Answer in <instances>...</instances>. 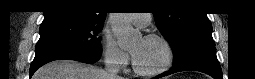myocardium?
<instances>
[{
    "label": "myocardium",
    "instance_id": "f54148a6",
    "mask_svg": "<svg viewBox=\"0 0 255 79\" xmlns=\"http://www.w3.org/2000/svg\"><path fill=\"white\" fill-rule=\"evenodd\" d=\"M143 39L161 42L165 48V59H164L162 65L156 69L143 70L138 67V65L134 61V58L132 57L131 63H132V68H133L134 72L141 76H154V75H158V74L165 72L170 67V65L172 64V61H173V49H172L171 44L165 37H163L162 35H158V34H148V35L144 36Z\"/></svg>",
    "mask_w": 255,
    "mask_h": 79
}]
</instances>
